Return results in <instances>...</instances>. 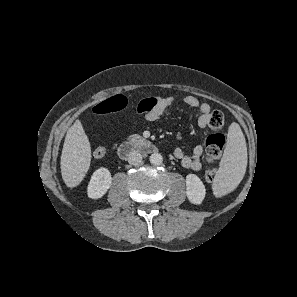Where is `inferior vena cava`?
I'll return each mask as SVG.
<instances>
[{"label":"inferior vena cava","mask_w":297,"mask_h":297,"mask_svg":"<svg viewBox=\"0 0 297 297\" xmlns=\"http://www.w3.org/2000/svg\"><path fill=\"white\" fill-rule=\"evenodd\" d=\"M142 161V155L138 151H132L128 155V163L131 165H138Z\"/></svg>","instance_id":"602c4592"}]
</instances>
